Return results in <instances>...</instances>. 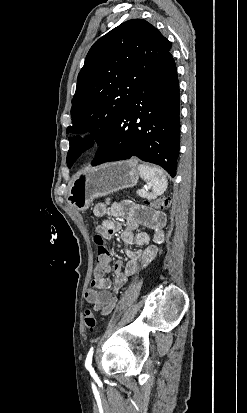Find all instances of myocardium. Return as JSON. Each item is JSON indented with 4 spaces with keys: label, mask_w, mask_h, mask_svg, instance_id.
I'll return each instance as SVG.
<instances>
[{
    "label": "myocardium",
    "mask_w": 247,
    "mask_h": 413,
    "mask_svg": "<svg viewBox=\"0 0 247 413\" xmlns=\"http://www.w3.org/2000/svg\"><path fill=\"white\" fill-rule=\"evenodd\" d=\"M91 145H92V142H91L90 140H87V141H86V146L89 147V146H91Z\"/></svg>",
    "instance_id": "f54148a6"
}]
</instances>
